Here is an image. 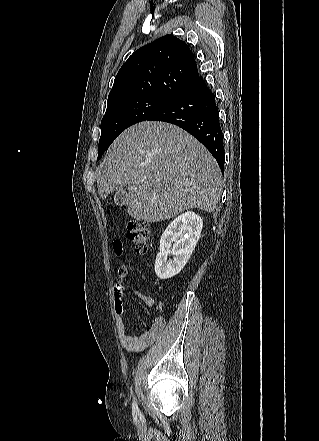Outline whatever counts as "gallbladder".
I'll use <instances>...</instances> for the list:
<instances>
[{"label": "gallbladder", "mask_w": 319, "mask_h": 441, "mask_svg": "<svg viewBox=\"0 0 319 441\" xmlns=\"http://www.w3.org/2000/svg\"><path fill=\"white\" fill-rule=\"evenodd\" d=\"M114 201L118 206H124L127 203V192L124 188H120L114 195Z\"/></svg>", "instance_id": "1"}]
</instances>
